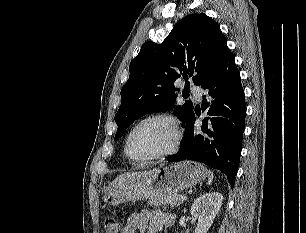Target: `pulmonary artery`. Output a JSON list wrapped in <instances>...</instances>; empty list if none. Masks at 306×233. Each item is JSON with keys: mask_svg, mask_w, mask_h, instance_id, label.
<instances>
[{"mask_svg": "<svg viewBox=\"0 0 306 233\" xmlns=\"http://www.w3.org/2000/svg\"><path fill=\"white\" fill-rule=\"evenodd\" d=\"M191 92L196 97V99L200 100L203 95V89L199 86H192Z\"/></svg>", "mask_w": 306, "mask_h": 233, "instance_id": "pulmonary-artery-1", "label": "pulmonary artery"}]
</instances>
